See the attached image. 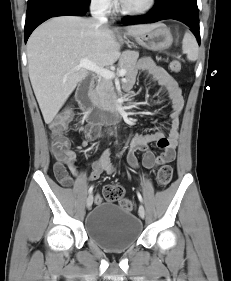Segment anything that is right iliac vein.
<instances>
[{
	"instance_id": "1",
	"label": "right iliac vein",
	"mask_w": 231,
	"mask_h": 281,
	"mask_svg": "<svg viewBox=\"0 0 231 281\" xmlns=\"http://www.w3.org/2000/svg\"><path fill=\"white\" fill-rule=\"evenodd\" d=\"M86 204H87V207L90 208L93 204V195L90 194L88 197H87V200H86Z\"/></svg>"
}]
</instances>
